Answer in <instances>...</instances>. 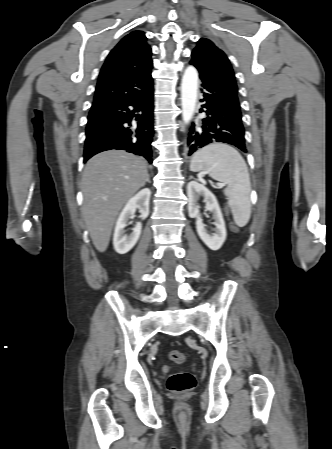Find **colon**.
<instances>
[{
  "label": "colon",
  "mask_w": 332,
  "mask_h": 449,
  "mask_svg": "<svg viewBox=\"0 0 332 449\" xmlns=\"http://www.w3.org/2000/svg\"><path fill=\"white\" fill-rule=\"evenodd\" d=\"M171 361L181 364L185 360V355L179 350H171L169 352ZM195 377L188 371H179L170 375L167 381V387L170 392L182 394L191 391L195 387Z\"/></svg>",
  "instance_id": "5ec220e1"
}]
</instances>
